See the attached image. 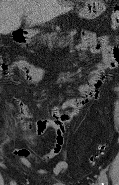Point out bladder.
<instances>
[{
    "label": "bladder",
    "mask_w": 119,
    "mask_h": 185,
    "mask_svg": "<svg viewBox=\"0 0 119 185\" xmlns=\"http://www.w3.org/2000/svg\"><path fill=\"white\" fill-rule=\"evenodd\" d=\"M54 185H66L65 183H57V184H54Z\"/></svg>",
    "instance_id": "31cf9c89"
}]
</instances>
